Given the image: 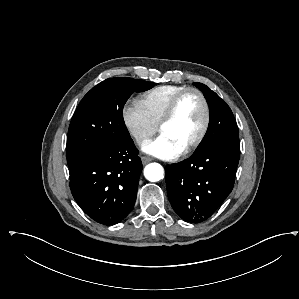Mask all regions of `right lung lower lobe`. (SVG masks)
Here are the masks:
<instances>
[{
	"instance_id": "right-lung-lower-lobe-1",
	"label": "right lung lower lobe",
	"mask_w": 299,
	"mask_h": 299,
	"mask_svg": "<svg viewBox=\"0 0 299 299\" xmlns=\"http://www.w3.org/2000/svg\"><path fill=\"white\" fill-rule=\"evenodd\" d=\"M142 167L132 139L100 150L70 168L72 195L93 220L115 224L134 206Z\"/></svg>"
}]
</instances>
